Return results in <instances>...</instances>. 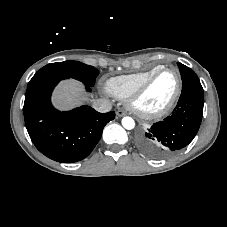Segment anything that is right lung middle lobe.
Returning <instances> with one entry per match:
<instances>
[{"label":"right lung middle lobe","instance_id":"obj_1","mask_svg":"<svg viewBox=\"0 0 227 227\" xmlns=\"http://www.w3.org/2000/svg\"><path fill=\"white\" fill-rule=\"evenodd\" d=\"M98 73V70L93 66L78 61H64L44 66L35 73L31 80L45 76H59L77 79L91 87L94 85Z\"/></svg>","mask_w":227,"mask_h":227}]
</instances>
